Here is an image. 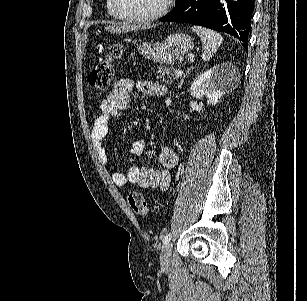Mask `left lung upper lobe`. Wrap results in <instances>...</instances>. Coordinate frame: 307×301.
<instances>
[{"label":"left lung upper lobe","instance_id":"obj_1","mask_svg":"<svg viewBox=\"0 0 307 301\" xmlns=\"http://www.w3.org/2000/svg\"><path fill=\"white\" fill-rule=\"evenodd\" d=\"M181 1H182V0H178V3H180ZM178 3H177V4H178Z\"/></svg>","mask_w":307,"mask_h":301}]
</instances>
